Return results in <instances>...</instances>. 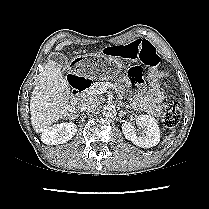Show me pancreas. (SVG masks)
I'll use <instances>...</instances> for the list:
<instances>
[{"label": "pancreas", "instance_id": "cf45deb5", "mask_svg": "<svg viewBox=\"0 0 209 209\" xmlns=\"http://www.w3.org/2000/svg\"><path fill=\"white\" fill-rule=\"evenodd\" d=\"M103 83H105V82H95V83H93V85L91 86L88 94L90 96H97L99 94L98 90L103 85Z\"/></svg>", "mask_w": 209, "mask_h": 209}]
</instances>
